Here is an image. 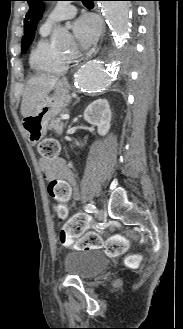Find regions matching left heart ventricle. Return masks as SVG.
<instances>
[{"label": "left heart ventricle", "mask_w": 183, "mask_h": 329, "mask_svg": "<svg viewBox=\"0 0 183 329\" xmlns=\"http://www.w3.org/2000/svg\"><path fill=\"white\" fill-rule=\"evenodd\" d=\"M63 53L66 55H73V54H75V48L71 47V48L67 49L66 51H64Z\"/></svg>", "instance_id": "1"}]
</instances>
